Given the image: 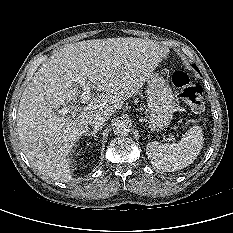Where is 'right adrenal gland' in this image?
I'll return each mask as SVG.
<instances>
[{
    "instance_id": "2a0ac1e0",
    "label": "right adrenal gland",
    "mask_w": 233,
    "mask_h": 233,
    "mask_svg": "<svg viewBox=\"0 0 233 233\" xmlns=\"http://www.w3.org/2000/svg\"><path fill=\"white\" fill-rule=\"evenodd\" d=\"M102 129V127H99V128H95L93 131H89V132H87L86 133V136H93L94 137V139L96 140V138H97V135H96V133L98 132V131H100Z\"/></svg>"
}]
</instances>
